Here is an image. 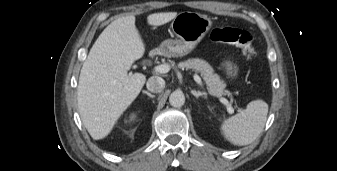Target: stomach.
I'll list each match as a JSON object with an SVG mask.
<instances>
[{
    "label": "stomach",
    "instance_id": "stomach-1",
    "mask_svg": "<svg viewBox=\"0 0 337 171\" xmlns=\"http://www.w3.org/2000/svg\"><path fill=\"white\" fill-rule=\"evenodd\" d=\"M212 26L206 15L196 12H181L172 21L171 28L176 35L175 40H165L160 47L161 53L168 57H181L189 54L202 40ZM229 77L238 72L236 65L230 61L223 64Z\"/></svg>",
    "mask_w": 337,
    "mask_h": 171
}]
</instances>
